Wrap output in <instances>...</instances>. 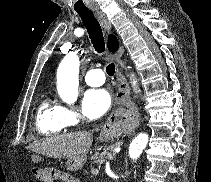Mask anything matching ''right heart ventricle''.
Here are the masks:
<instances>
[{
  "mask_svg": "<svg viewBox=\"0 0 211 182\" xmlns=\"http://www.w3.org/2000/svg\"><path fill=\"white\" fill-rule=\"evenodd\" d=\"M35 125L38 133L46 137L65 131L68 125L63 107L50 98H45L37 109Z\"/></svg>",
  "mask_w": 211,
  "mask_h": 182,
  "instance_id": "right-heart-ventricle-1",
  "label": "right heart ventricle"
}]
</instances>
